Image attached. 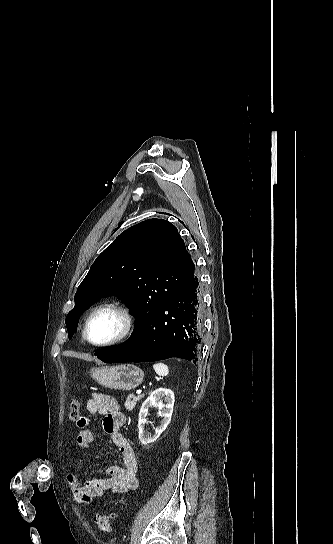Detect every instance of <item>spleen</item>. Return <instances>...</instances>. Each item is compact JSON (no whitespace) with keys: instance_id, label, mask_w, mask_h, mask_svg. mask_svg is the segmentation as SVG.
Returning a JSON list of instances; mask_svg holds the SVG:
<instances>
[{"instance_id":"3e777b00","label":"spleen","mask_w":333,"mask_h":544,"mask_svg":"<svg viewBox=\"0 0 333 544\" xmlns=\"http://www.w3.org/2000/svg\"><path fill=\"white\" fill-rule=\"evenodd\" d=\"M153 369L159 376H167L169 373L168 366L164 363H156L153 365Z\"/></svg>"}]
</instances>
